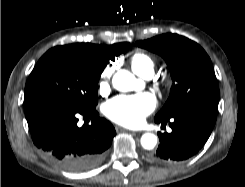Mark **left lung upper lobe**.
<instances>
[{
  "instance_id": "left-lung-upper-lobe-1",
  "label": "left lung upper lobe",
  "mask_w": 245,
  "mask_h": 187,
  "mask_svg": "<svg viewBox=\"0 0 245 187\" xmlns=\"http://www.w3.org/2000/svg\"><path fill=\"white\" fill-rule=\"evenodd\" d=\"M136 45L161 55L173 80L169 98L155 118L166 120L188 110L218 107L220 92L213 65L200 45L171 33Z\"/></svg>"
}]
</instances>
